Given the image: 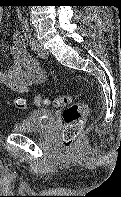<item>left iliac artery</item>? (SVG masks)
Returning a JSON list of instances; mask_svg holds the SVG:
<instances>
[{"label": "left iliac artery", "mask_w": 121, "mask_h": 197, "mask_svg": "<svg viewBox=\"0 0 121 197\" xmlns=\"http://www.w3.org/2000/svg\"><path fill=\"white\" fill-rule=\"evenodd\" d=\"M24 28L27 32V38H28V41H29V45L31 47L32 50H35L36 49V40L35 38L33 37L30 29H29V26L26 22H24Z\"/></svg>", "instance_id": "obj_1"}]
</instances>
